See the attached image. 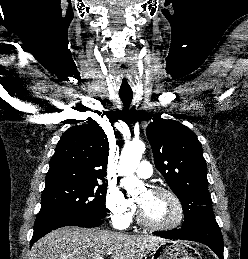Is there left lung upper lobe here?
Returning a JSON list of instances; mask_svg holds the SVG:
<instances>
[{
    "instance_id": "1",
    "label": "left lung upper lobe",
    "mask_w": 248,
    "mask_h": 259,
    "mask_svg": "<svg viewBox=\"0 0 248 259\" xmlns=\"http://www.w3.org/2000/svg\"><path fill=\"white\" fill-rule=\"evenodd\" d=\"M147 138L156 168L183 205L182 227L216 221L206 161L194 132L177 121L157 116L147 127Z\"/></svg>"
}]
</instances>
